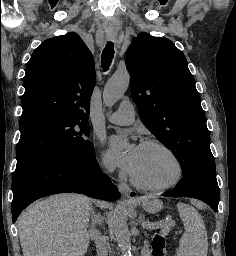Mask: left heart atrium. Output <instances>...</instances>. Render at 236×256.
<instances>
[{"label":"left heart atrium","mask_w":236,"mask_h":256,"mask_svg":"<svg viewBox=\"0 0 236 256\" xmlns=\"http://www.w3.org/2000/svg\"><path fill=\"white\" fill-rule=\"evenodd\" d=\"M127 137L117 135L110 139L108 156L119 166L131 171L135 164L139 146L131 144L126 147Z\"/></svg>","instance_id":"39dd6f15"}]
</instances>
